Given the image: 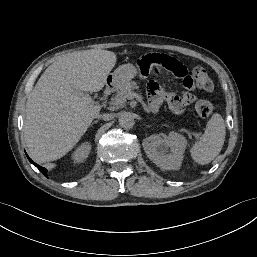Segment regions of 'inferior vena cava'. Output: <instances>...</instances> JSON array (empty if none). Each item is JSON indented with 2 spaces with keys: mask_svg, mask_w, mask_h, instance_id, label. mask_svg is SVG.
<instances>
[{
  "mask_svg": "<svg viewBox=\"0 0 257 257\" xmlns=\"http://www.w3.org/2000/svg\"><path fill=\"white\" fill-rule=\"evenodd\" d=\"M96 118H100V119H103V120H105V121H109V120H111L112 118H113V115L112 114H107V113H105V114H97L96 115Z\"/></svg>",
  "mask_w": 257,
  "mask_h": 257,
  "instance_id": "1",
  "label": "inferior vena cava"
}]
</instances>
